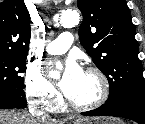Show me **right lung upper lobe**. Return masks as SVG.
<instances>
[{
  "label": "right lung upper lobe",
  "instance_id": "obj_1",
  "mask_svg": "<svg viewBox=\"0 0 145 124\" xmlns=\"http://www.w3.org/2000/svg\"><path fill=\"white\" fill-rule=\"evenodd\" d=\"M29 18L24 0L0 3V54L27 57L31 36Z\"/></svg>",
  "mask_w": 145,
  "mask_h": 124
}]
</instances>
